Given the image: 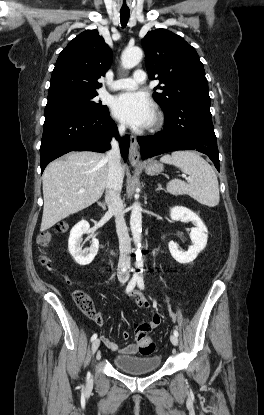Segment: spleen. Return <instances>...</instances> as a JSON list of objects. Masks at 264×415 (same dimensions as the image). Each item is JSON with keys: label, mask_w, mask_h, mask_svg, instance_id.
<instances>
[{"label": "spleen", "mask_w": 264, "mask_h": 415, "mask_svg": "<svg viewBox=\"0 0 264 415\" xmlns=\"http://www.w3.org/2000/svg\"><path fill=\"white\" fill-rule=\"evenodd\" d=\"M160 161L175 165L190 177L188 183L179 179L169 181L166 189L170 194H187L209 207L218 205L220 196L217 176L200 155L193 151H174L171 155H163Z\"/></svg>", "instance_id": "3e777b00"}]
</instances>
